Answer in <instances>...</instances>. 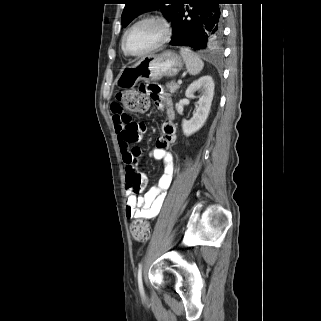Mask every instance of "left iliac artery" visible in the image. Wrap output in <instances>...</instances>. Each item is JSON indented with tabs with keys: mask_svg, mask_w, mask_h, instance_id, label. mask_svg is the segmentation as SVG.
<instances>
[{
	"mask_svg": "<svg viewBox=\"0 0 321 321\" xmlns=\"http://www.w3.org/2000/svg\"><path fill=\"white\" fill-rule=\"evenodd\" d=\"M142 267H143V264H142V262H141V263L139 264V267H138L137 279H138L139 291H140L141 293H144L143 283H142Z\"/></svg>",
	"mask_w": 321,
	"mask_h": 321,
	"instance_id": "obj_1",
	"label": "left iliac artery"
}]
</instances>
